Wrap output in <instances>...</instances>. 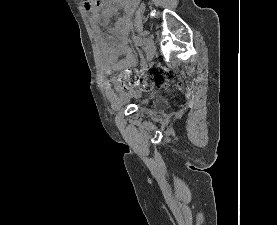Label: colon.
Here are the masks:
<instances>
[{"label": "colon", "instance_id": "5ec220e1", "mask_svg": "<svg viewBox=\"0 0 277 225\" xmlns=\"http://www.w3.org/2000/svg\"><path fill=\"white\" fill-rule=\"evenodd\" d=\"M120 82L124 88L140 86L144 90H150L153 86L151 72H132L127 69L120 73Z\"/></svg>", "mask_w": 277, "mask_h": 225}]
</instances>
